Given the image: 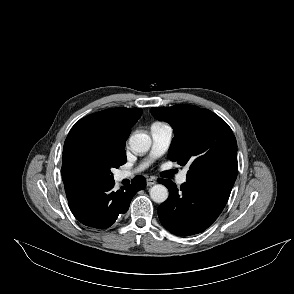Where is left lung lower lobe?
Listing matches in <instances>:
<instances>
[{
  "label": "left lung lower lobe",
  "mask_w": 294,
  "mask_h": 294,
  "mask_svg": "<svg viewBox=\"0 0 294 294\" xmlns=\"http://www.w3.org/2000/svg\"><path fill=\"white\" fill-rule=\"evenodd\" d=\"M231 174H212L186 178L177 188L168 179H159L169 190V198L158 208L162 225L171 233L189 236L207 229L220 215L230 196L233 184Z\"/></svg>",
  "instance_id": "0a47b994"
}]
</instances>
